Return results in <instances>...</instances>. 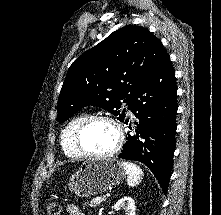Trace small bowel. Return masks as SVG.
I'll return each mask as SVG.
<instances>
[{
  "instance_id": "small-bowel-1",
  "label": "small bowel",
  "mask_w": 221,
  "mask_h": 215,
  "mask_svg": "<svg viewBox=\"0 0 221 215\" xmlns=\"http://www.w3.org/2000/svg\"><path fill=\"white\" fill-rule=\"evenodd\" d=\"M66 211L69 215H85L75 204H68Z\"/></svg>"
}]
</instances>
